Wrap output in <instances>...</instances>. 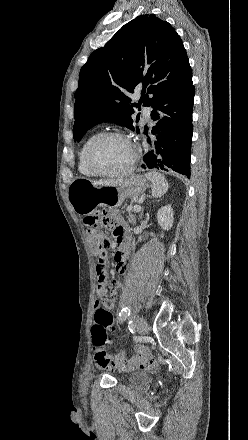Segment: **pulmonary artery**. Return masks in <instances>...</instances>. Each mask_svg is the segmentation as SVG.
Segmentation results:
<instances>
[{"label":"pulmonary artery","instance_id":"e3ab8cb5","mask_svg":"<svg viewBox=\"0 0 248 440\" xmlns=\"http://www.w3.org/2000/svg\"><path fill=\"white\" fill-rule=\"evenodd\" d=\"M146 116H147V117L149 116V111H147Z\"/></svg>","mask_w":248,"mask_h":440}]
</instances>
